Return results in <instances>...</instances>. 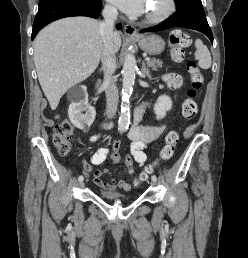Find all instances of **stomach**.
Instances as JSON below:
<instances>
[{
  "mask_svg": "<svg viewBox=\"0 0 248 258\" xmlns=\"http://www.w3.org/2000/svg\"><path fill=\"white\" fill-rule=\"evenodd\" d=\"M138 44L144 52L150 55L160 54L165 47L164 40L160 36L154 34L140 37L138 39Z\"/></svg>",
  "mask_w": 248,
  "mask_h": 258,
  "instance_id": "obj_1",
  "label": "stomach"
}]
</instances>
